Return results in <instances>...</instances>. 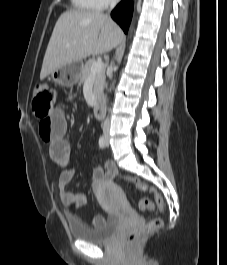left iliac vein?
<instances>
[{"mask_svg":"<svg viewBox=\"0 0 227 265\" xmlns=\"http://www.w3.org/2000/svg\"><path fill=\"white\" fill-rule=\"evenodd\" d=\"M105 142H106V145L108 146V145H109V138H108V135H106Z\"/></svg>","mask_w":227,"mask_h":265,"instance_id":"obj_1","label":"left iliac vein"}]
</instances>
